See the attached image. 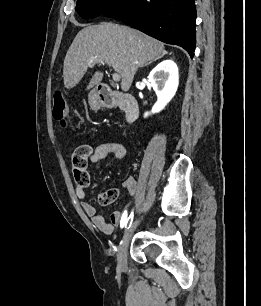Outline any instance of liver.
<instances>
[{"label": "liver", "mask_w": 261, "mask_h": 306, "mask_svg": "<svg viewBox=\"0 0 261 306\" xmlns=\"http://www.w3.org/2000/svg\"><path fill=\"white\" fill-rule=\"evenodd\" d=\"M163 43L144 33L112 23L83 28L69 47L63 65L64 86L75 87L88 69L92 57L102 59L122 78L121 89L128 91L138 67L165 55ZM102 72H95L87 90L99 84Z\"/></svg>", "instance_id": "6515ba94"}]
</instances>
